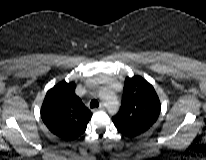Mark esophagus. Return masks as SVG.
<instances>
[{
  "label": "esophagus",
  "instance_id": "1",
  "mask_svg": "<svg viewBox=\"0 0 206 160\" xmlns=\"http://www.w3.org/2000/svg\"><path fill=\"white\" fill-rule=\"evenodd\" d=\"M95 110H99V111L105 110L104 104H101V105H100L97 109H95Z\"/></svg>",
  "mask_w": 206,
  "mask_h": 160
}]
</instances>
